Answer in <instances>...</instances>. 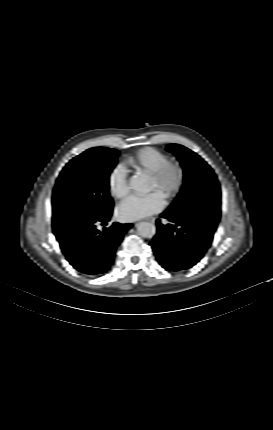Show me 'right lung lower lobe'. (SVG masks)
Here are the masks:
<instances>
[{"mask_svg": "<svg viewBox=\"0 0 273 430\" xmlns=\"http://www.w3.org/2000/svg\"><path fill=\"white\" fill-rule=\"evenodd\" d=\"M112 211L78 228L56 235L61 250L69 263L88 276L104 274L112 265L116 248L131 224L113 223L103 232L97 229L99 222L110 220Z\"/></svg>", "mask_w": 273, "mask_h": 430, "instance_id": "1", "label": "right lung lower lobe"}]
</instances>
